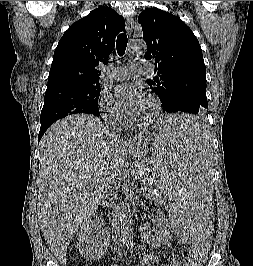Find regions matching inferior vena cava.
I'll list each match as a JSON object with an SVG mask.
<instances>
[{
  "mask_svg": "<svg viewBox=\"0 0 253 266\" xmlns=\"http://www.w3.org/2000/svg\"><path fill=\"white\" fill-rule=\"evenodd\" d=\"M106 127H105V133L107 136L112 138L113 140L120 139V133H121V127L117 124L119 121V118L113 114L110 115H104L103 116ZM120 122V121H119ZM110 185L108 187V190H106L104 194V203L109 206V202L113 203L112 201L117 199L116 192L112 189L113 185L116 184L115 177H112L109 180ZM111 187V189H110ZM118 207L113 208L112 215L114 216L113 219V226L118 231L119 230V224H118Z\"/></svg>",
  "mask_w": 253,
  "mask_h": 266,
  "instance_id": "602c4592",
  "label": "inferior vena cava"
}]
</instances>
